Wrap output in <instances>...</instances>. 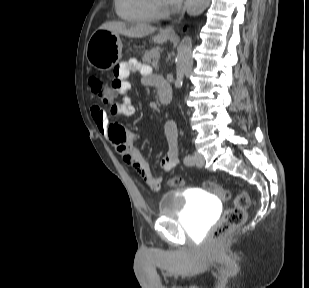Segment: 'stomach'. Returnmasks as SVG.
<instances>
[{"instance_id":"obj_1","label":"stomach","mask_w":309,"mask_h":288,"mask_svg":"<svg viewBox=\"0 0 309 288\" xmlns=\"http://www.w3.org/2000/svg\"><path fill=\"white\" fill-rule=\"evenodd\" d=\"M169 36L158 34L153 37L155 43H164ZM86 57L96 69L106 71L113 68L122 57V41L119 34L106 29L96 30L88 40Z\"/></svg>"}]
</instances>
